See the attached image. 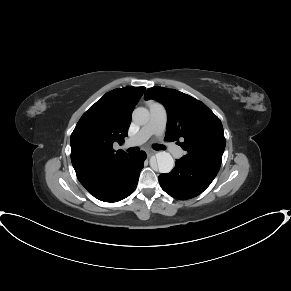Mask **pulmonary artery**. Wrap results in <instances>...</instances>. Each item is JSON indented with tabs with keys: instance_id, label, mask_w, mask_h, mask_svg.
Here are the masks:
<instances>
[{
	"instance_id": "1",
	"label": "pulmonary artery",
	"mask_w": 291,
	"mask_h": 291,
	"mask_svg": "<svg viewBox=\"0 0 291 291\" xmlns=\"http://www.w3.org/2000/svg\"><path fill=\"white\" fill-rule=\"evenodd\" d=\"M150 116L148 122L140 129L137 135L126 140L125 148L136 147L146 142L152 135L161 136L167 123V112L165 107L155 101H147ZM170 152L174 157H181L183 150L180 147L172 146Z\"/></svg>"
}]
</instances>
